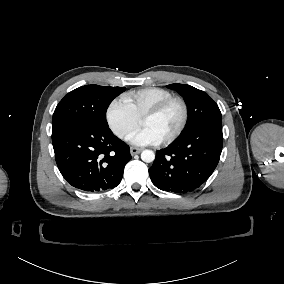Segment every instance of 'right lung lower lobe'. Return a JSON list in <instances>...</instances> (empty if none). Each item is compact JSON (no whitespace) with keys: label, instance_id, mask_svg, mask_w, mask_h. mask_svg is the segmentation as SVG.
Masks as SVG:
<instances>
[{"label":"right lung lower lobe","instance_id":"1","mask_svg":"<svg viewBox=\"0 0 284 284\" xmlns=\"http://www.w3.org/2000/svg\"><path fill=\"white\" fill-rule=\"evenodd\" d=\"M52 143L63 177L73 187L89 193L116 187L132 158L129 146L108 127L71 124L53 134Z\"/></svg>","mask_w":284,"mask_h":284}]
</instances>
